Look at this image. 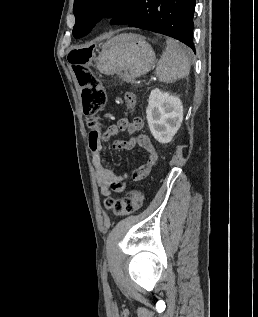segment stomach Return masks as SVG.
<instances>
[{"label":"stomach","mask_w":258,"mask_h":317,"mask_svg":"<svg viewBox=\"0 0 258 317\" xmlns=\"http://www.w3.org/2000/svg\"><path fill=\"white\" fill-rule=\"evenodd\" d=\"M155 64V52L144 40V36L133 32H122L103 42L96 58L100 72H127L130 76L146 74Z\"/></svg>","instance_id":"obj_1"}]
</instances>
